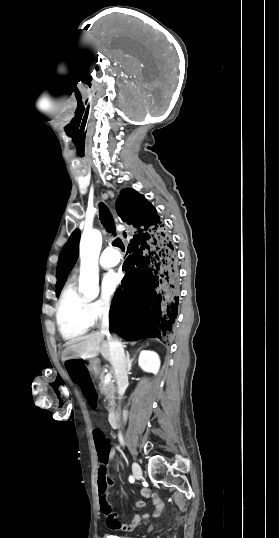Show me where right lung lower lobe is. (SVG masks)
Returning a JSON list of instances; mask_svg holds the SVG:
<instances>
[{"instance_id":"98d812e1","label":"right lung lower lobe","mask_w":279,"mask_h":538,"mask_svg":"<svg viewBox=\"0 0 279 538\" xmlns=\"http://www.w3.org/2000/svg\"><path fill=\"white\" fill-rule=\"evenodd\" d=\"M116 211L129 227L126 271L111 304L109 322L125 339L160 337L171 331L179 309L176 250L157 211L131 188L121 190Z\"/></svg>"}]
</instances>
